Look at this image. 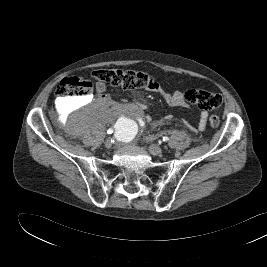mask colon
Returning a JSON list of instances; mask_svg holds the SVG:
<instances>
[{
  "mask_svg": "<svg viewBox=\"0 0 267 267\" xmlns=\"http://www.w3.org/2000/svg\"><path fill=\"white\" fill-rule=\"evenodd\" d=\"M92 77L99 82L108 83L111 86L123 89H151L158 83L152 76L145 72L122 70V69H96L92 72ZM93 90V83L87 79L76 77L64 78L55 88V95L62 98L85 97ZM185 100L196 105L202 110H215L221 107L222 97L219 94L191 89L184 93ZM211 127L217 128L220 119L217 115L209 117Z\"/></svg>",
  "mask_w": 267,
  "mask_h": 267,
  "instance_id": "1",
  "label": "colon"
}]
</instances>
